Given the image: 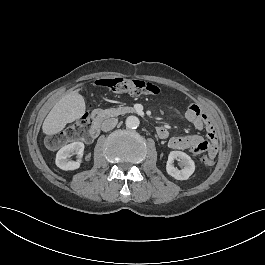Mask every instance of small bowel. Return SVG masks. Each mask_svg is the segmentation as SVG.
Masks as SVG:
<instances>
[{"label":"small bowel","instance_id":"obj_1","mask_svg":"<svg viewBox=\"0 0 265 265\" xmlns=\"http://www.w3.org/2000/svg\"><path fill=\"white\" fill-rule=\"evenodd\" d=\"M187 119L198 129L206 127L207 136L209 140L204 139L199 135H187V136H172L168 140V146L173 150H188L193 154L199 155L207 152L208 156L215 158L218 150L217 134L209 117L201 110V108L195 104H190L186 111ZM163 130L165 135L159 137L161 139H167L168 131L160 127L157 131Z\"/></svg>","mask_w":265,"mask_h":265}]
</instances>
